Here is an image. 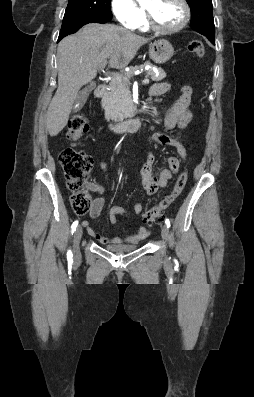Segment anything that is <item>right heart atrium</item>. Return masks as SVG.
<instances>
[{"mask_svg": "<svg viewBox=\"0 0 254 397\" xmlns=\"http://www.w3.org/2000/svg\"><path fill=\"white\" fill-rule=\"evenodd\" d=\"M111 9L117 21L128 29L138 28L145 18L134 0H111Z\"/></svg>", "mask_w": 254, "mask_h": 397, "instance_id": "d8ad5b80", "label": "right heart atrium"}]
</instances>
